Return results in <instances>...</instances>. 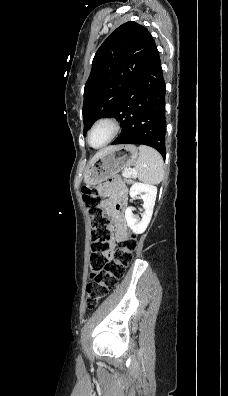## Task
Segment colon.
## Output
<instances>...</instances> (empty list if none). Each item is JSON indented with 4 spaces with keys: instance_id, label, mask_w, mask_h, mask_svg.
<instances>
[{
    "instance_id": "colon-1",
    "label": "colon",
    "mask_w": 228,
    "mask_h": 396,
    "mask_svg": "<svg viewBox=\"0 0 228 396\" xmlns=\"http://www.w3.org/2000/svg\"><path fill=\"white\" fill-rule=\"evenodd\" d=\"M116 181L121 183L120 179H116ZM82 199L92 223L90 266L95 275L86 288V305L89 309H93L123 276L125 267L133 259V251L137 247V240L134 234L128 235L121 241V248L116 253L115 259H111L108 255L111 239L110 222L102 206L98 189L83 186Z\"/></svg>"
}]
</instances>
